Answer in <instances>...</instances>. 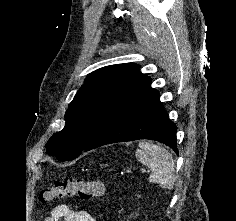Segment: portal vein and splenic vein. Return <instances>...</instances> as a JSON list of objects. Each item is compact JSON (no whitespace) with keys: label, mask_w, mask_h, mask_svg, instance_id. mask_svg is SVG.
<instances>
[{"label":"portal vein and splenic vein","mask_w":236,"mask_h":221,"mask_svg":"<svg viewBox=\"0 0 236 221\" xmlns=\"http://www.w3.org/2000/svg\"><path fill=\"white\" fill-rule=\"evenodd\" d=\"M141 172H143V173L146 172V169H145V168H142V169H141Z\"/></svg>","instance_id":"18ae733b"}]
</instances>
